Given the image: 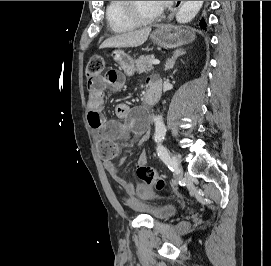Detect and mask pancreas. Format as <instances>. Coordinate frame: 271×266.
<instances>
[{
	"label": "pancreas",
	"mask_w": 271,
	"mask_h": 266,
	"mask_svg": "<svg viewBox=\"0 0 271 266\" xmlns=\"http://www.w3.org/2000/svg\"><path fill=\"white\" fill-rule=\"evenodd\" d=\"M154 59L152 55H142L136 61L135 70L137 73H142L146 71H151L153 66L151 61Z\"/></svg>",
	"instance_id": "1"
}]
</instances>
